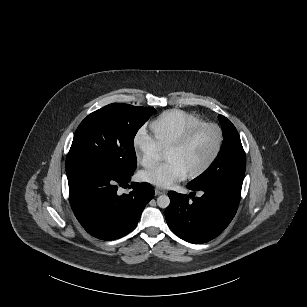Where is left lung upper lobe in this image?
<instances>
[{"label":"left lung upper lobe","instance_id":"left-lung-upper-lobe-1","mask_svg":"<svg viewBox=\"0 0 307 307\" xmlns=\"http://www.w3.org/2000/svg\"><path fill=\"white\" fill-rule=\"evenodd\" d=\"M218 119L223 130V143L214 163L188 187L199 189L209 185H227L241 190L246 169L245 153L235 126L224 116Z\"/></svg>","mask_w":307,"mask_h":307}]
</instances>
